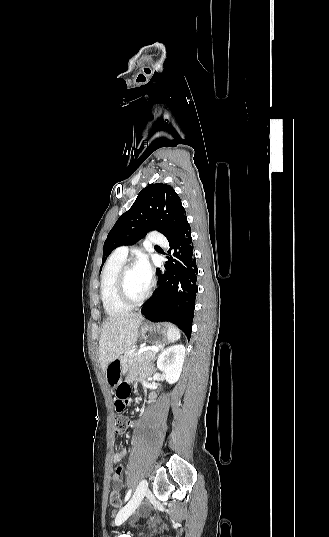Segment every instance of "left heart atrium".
<instances>
[{
    "instance_id": "39dd6f15",
    "label": "left heart atrium",
    "mask_w": 329,
    "mask_h": 537,
    "mask_svg": "<svg viewBox=\"0 0 329 537\" xmlns=\"http://www.w3.org/2000/svg\"><path fill=\"white\" fill-rule=\"evenodd\" d=\"M135 268L142 280L149 285L152 278V269L148 258L144 254L138 256Z\"/></svg>"
}]
</instances>
